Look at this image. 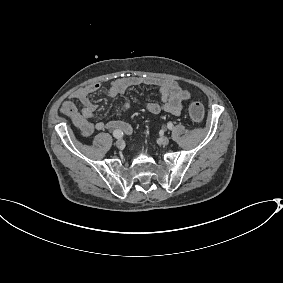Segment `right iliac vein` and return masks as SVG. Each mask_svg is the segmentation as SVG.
<instances>
[{
	"label": "right iliac vein",
	"instance_id": "1",
	"mask_svg": "<svg viewBox=\"0 0 283 283\" xmlns=\"http://www.w3.org/2000/svg\"><path fill=\"white\" fill-rule=\"evenodd\" d=\"M115 145L118 149H123L125 147V142L122 139H118Z\"/></svg>",
	"mask_w": 283,
	"mask_h": 283
}]
</instances>
